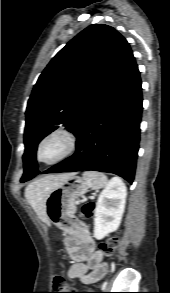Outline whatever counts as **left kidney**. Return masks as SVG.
Returning <instances> with one entry per match:
<instances>
[{
	"label": "left kidney",
	"instance_id": "obj_1",
	"mask_svg": "<svg viewBox=\"0 0 170 293\" xmlns=\"http://www.w3.org/2000/svg\"><path fill=\"white\" fill-rule=\"evenodd\" d=\"M127 189L123 181L113 178L100 193L94 213V237L103 239L120 226Z\"/></svg>",
	"mask_w": 170,
	"mask_h": 293
}]
</instances>
